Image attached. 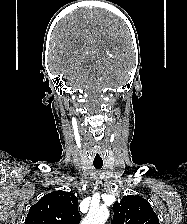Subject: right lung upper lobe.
Segmentation results:
<instances>
[{
  "instance_id": "cb5924a9",
  "label": "right lung upper lobe",
  "mask_w": 187,
  "mask_h": 224,
  "mask_svg": "<svg viewBox=\"0 0 187 224\" xmlns=\"http://www.w3.org/2000/svg\"><path fill=\"white\" fill-rule=\"evenodd\" d=\"M78 199L71 192L53 191L31 206L25 224H78Z\"/></svg>"
}]
</instances>
